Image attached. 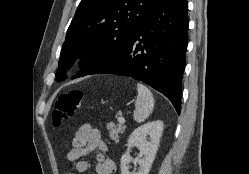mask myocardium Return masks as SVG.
Here are the masks:
<instances>
[{"instance_id":"obj_1","label":"myocardium","mask_w":249,"mask_h":174,"mask_svg":"<svg viewBox=\"0 0 249 174\" xmlns=\"http://www.w3.org/2000/svg\"><path fill=\"white\" fill-rule=\"evenodd\" d=\"M87 52H92V49H88Z\"/></svg>"}]
</instances>
